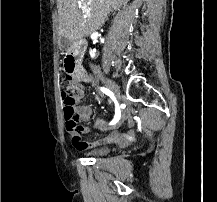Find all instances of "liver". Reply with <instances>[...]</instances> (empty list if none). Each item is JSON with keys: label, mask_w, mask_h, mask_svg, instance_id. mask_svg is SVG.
Wrapping results in <instances>:
<instances>
[{"label": "liver", "mask_w": 217, "mask_h": 202, "mask_svg": "<svg viewBox=\"0 0 217 202\" xmlns=\"http://www.w3.org/2000/svg\"><path fill=\"white\" fill-rule=\"evenodd\" d=\"M130 0H57L59 34L70 42L90 36L106 22L109 12Z\"/></svg>", "instance_id": "1"}]
</instances>
